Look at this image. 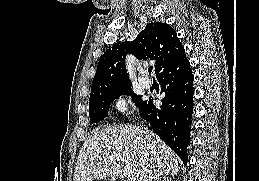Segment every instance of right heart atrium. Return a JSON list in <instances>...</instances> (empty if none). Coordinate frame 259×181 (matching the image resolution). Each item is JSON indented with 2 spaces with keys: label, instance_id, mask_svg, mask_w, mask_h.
Listing matches in <instances>:
<instances>
[{
  "label": "right heart atrium",
  "instance_id": "right-heart-atrium-1",
  "mask_svg": "<svg viewBox=\"0 0 259 181\" xmlns=\"http://www.w3.org/2000/svg\"><path fill=\"white\" fill-rule=\"evenodd\" d=\"M112 107L116 112L125 114L129 110V101L124 96L116 97L112 102Z\"/></svg>",
  "mask_w": 259,
  "mask_h": 181
}]
</instances>
